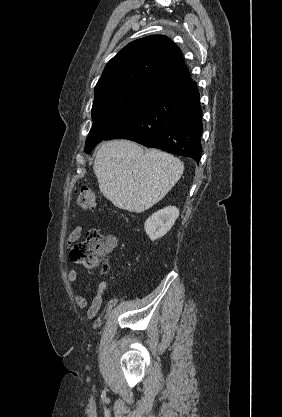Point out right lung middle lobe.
<instances>
[{
  "label": "right lung middle lobe",
  "instance_id": "dd1d6c3e",
  "mask_svg": "<svg viewBox=\"0 0 282 417\" xmlns=\"http://www.w3.org/2000/svg\"><path fill=\"white\" fill-rule=\"evenodd\" d=\"M157 93L128 89L95 96L93 126L86 140L85 152L90 153L96 144L140 111Z\"/></svg>",
  "mask_w": 282,
  "mask_h": 417
}]
</instances>
